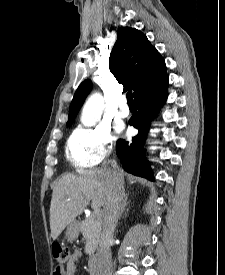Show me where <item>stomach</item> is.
Listing matches in <instances>:
<instances>
[{
	"instance_id": "0dacf381",
	"label": "stomach",
	"mask_w": 225,
	"mask_h": 275,
	"mask_svg": "<svg viewBox=\"0 0 225 275\" xmlns=\"http://www.w3.org/2000/svg\"><path fill=\"white\" fill-rule=\"evenodd\" d=\"M79 234V225L77 222H71L68 226H67V230H66V238L68 241H74L75 239H77Z\"/></svg>"
}]
</instances>
